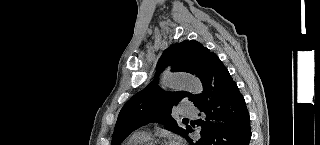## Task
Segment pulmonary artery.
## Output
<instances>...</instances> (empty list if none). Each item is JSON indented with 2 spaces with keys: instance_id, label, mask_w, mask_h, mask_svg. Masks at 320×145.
<instances>
[{
  "instance_id": "e3ab8cb5",
  "label": "pulmonary artery",
  "mask_w": 320,
  "mask_h": 145,
  "mask_svg": "<svg viewBox=\"0 0 320 145\" xmlns=\"http://www.w3.org/2000/svg\"><path fill=\"white\" fill-rule=\"evenodd\" d=\"M179 113L183 116H195L197 114V108L186 106L184 103L179 108ZM140 133H144L149 136V133L145 130H140Z\"/></svg>"
}]
</instances>
